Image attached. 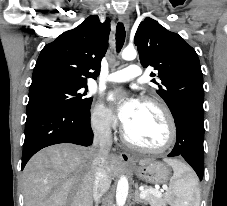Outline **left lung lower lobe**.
I'll return each instance as SVG.
<instances>
[{"instance_id": "obj_1", "label": "left lung lower lobe", "mask_w": 227, "mask_h": 206, "mask_svg": "<svg viewBox=\"0 0 227 206\" xmlns=\"http://www.w3.org/2000/svg\"><path fill=\"white\" fill-rule=\"evenodd\" d=\"M177 140L168 155L182 156L195 170L200 180L204 172V111L202 107L185 106L173 116Z\"/></svg>"}]
</instances>
